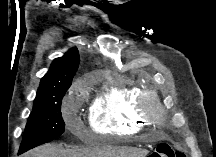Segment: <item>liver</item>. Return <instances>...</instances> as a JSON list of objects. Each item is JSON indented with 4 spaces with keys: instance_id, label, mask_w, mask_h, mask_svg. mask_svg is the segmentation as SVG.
<instances>
[{
    "instance_id": "obj_1",
    "label": "liver",
    "mask_w": 216,
    "mask_h": 157,
    "mask_svg": "<svg viewBox=\"0 0 216 157\" xmlns=\"http://www.w3.org/2000/svg\"><path fill=\"white\" fill-rule=\"evenodd\" d=\"M148 151L128 147L102 145L87 149H64L61 145L46 144L37 147L24 157H145Z\"/></svg>"
}]
</instances>
